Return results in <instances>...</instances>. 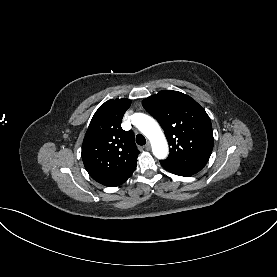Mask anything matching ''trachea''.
<instances>
[{
	"label": "trachea",
	"instance_id": "1",
	"mask_svg": "<svg viewBox=\"0 0 277 277\" xmlns=\"http://www.w3.org/2000/svg\"><path fill=\"white\" fill-rule=\"evenodd\" d=\"M136 142L138 145H144L146 143V139L142 134H138L136 136Z\"/></svg>",
	"mask_w": 277,
	"mask_h": 277
}]
</instances>
